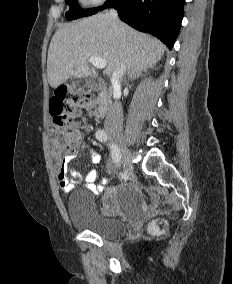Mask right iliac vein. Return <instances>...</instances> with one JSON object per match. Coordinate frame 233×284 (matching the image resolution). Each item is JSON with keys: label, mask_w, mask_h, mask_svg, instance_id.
<instances>
[{"label": "right iliac vein", "mask_w": 233, "mask_h": 284, "mask_svg": "<svg viewBox=\"0 0 233 284\" xmlns=\"http://www.w3.org/2000/svg\"><path fill=\"white\" fill-rule=\"evenodd\" d=\"M112 138L116 142V144L119 148V151L121 152L122 163H123L125 169L128 172H131L133 170L132 156H131L129 149L125 145L122 136L118 133H113Z\"/></svg>", "instance_id": "right-iliac-vein-1"}]
</instances>
